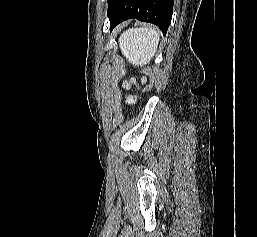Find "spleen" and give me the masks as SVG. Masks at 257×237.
<instances>
[{
  "mask_svg": "<svg viewBox=\"0 0 257 237\" xmlns=\"http://www.w3.org/2000/svg\"><path fill=\"white\" fill-rule=\"evenodd\" d=\"M159 33L152 27L130 28L119 38L122 54L136 66L151 61L159 43Z\"/></svg>",
  "mask_w": 257,
  "mask_h": 237,
  "instance_id": "spleen-1",
  "label": "spleen"
}]
</instances>
